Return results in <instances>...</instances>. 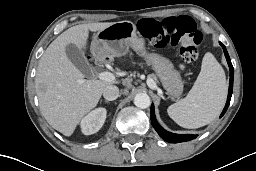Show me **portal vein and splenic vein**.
I'll return each mask as SVG.
<instances>
[{
    "instance_id": "1",
    "label": "portal vein and splenic vein",
    "mask_w": 256,
    "mask_h": 171,
    "mask_svg": "<svg viewBox=\"0 0 256 171\" xmlns=\"http://www.w3.org/2000/svg\"><path fill=\"white\" fill-rule=\"evenodd\" d=\"M97 77L100 79V80H104V81H108V82H113L115 80V76L110 73V72H101L97 75ZM84 80H81V82H83ZM149 85L151 88H155V84L152 82V81H149Z\"/></svg>"
}]
</instances>
